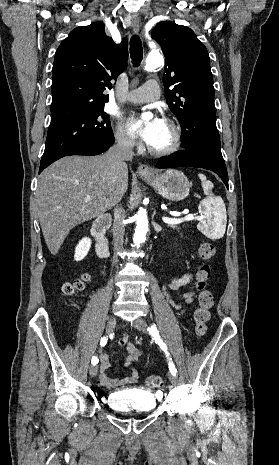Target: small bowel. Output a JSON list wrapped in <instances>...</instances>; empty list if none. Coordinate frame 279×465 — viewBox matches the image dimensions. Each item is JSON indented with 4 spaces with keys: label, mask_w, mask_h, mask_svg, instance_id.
I'll return each mask as SVG.
<instances>
[{
    "label": "small bowel",
    "mask_w": 279,
    "mask_h": 465,
    "mask_svg": "<svg viewBox=\"0 0 279 465\" xmlns=\"http://www.w3.org/2000/svg\"><path fill=\"white\" fill-rule=\"evenodd\" d=\"M193 280L192 273H184L179 276H174L170 279L168 286L174 291H178L180 288L189 285ZM194 294L192 292L184 293L179 296V302L171 301V304L176 309H181L182 314H185L186 311L183 309L185 304H188L193 301ZM118 345L126 350V356L123 360V366L129 369L128 373L122 378H112L106 371L111 366L110 356L107 353H101L99 355L100 359V383L106 388H116L124 386L130 383H133L137 380L138 373L135 369L131 368L134 363H136L141 357V351L128 339L127 335H123L119 341Z\"/></svg>",
    "instance_id": "small-bowel-1"
}]
</instances>
